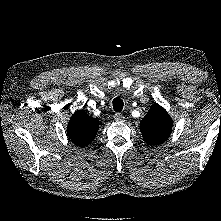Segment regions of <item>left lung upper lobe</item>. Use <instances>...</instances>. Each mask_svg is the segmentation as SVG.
<instances>
[{
    "label": "left lung upper lobe",
    "instance_id": "5c2ea615",
    "mask_svg": "<svg viewBox=\"0 0 221 221\" xmlns=\"http://www.w3.org/2000/svg\"><path fill=\"white\" fill-rule=\"evenodd\" d=\"M172 125V119L165 109L158 104H154L142 119L140 131L147 144L157 145L163 143L169 137Z\"/></svg>",
    "mask_w": 221,
    "mask_h": 221
}]
</instances>
